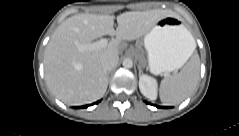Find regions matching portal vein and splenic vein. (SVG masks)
I'll use <instances>...</instances> for the list:
<instances>
[{"label":"portal vein and splenic vein","instance_id":"1","mask_svg":"<svg viewBox=\"0 0 239 136\" xmlns=\"http://www.w3.org/2000/svg\"><path fill=\"white\" fill-rule=\"evenodd\" d=\"M107 44H108V40L103 38L93 43L79 45L78 48L80 51H83V50L93 51V50H99V49L105 48Z\"/></svg>","mask_w":239,"mask_h":136}]
</instances>
